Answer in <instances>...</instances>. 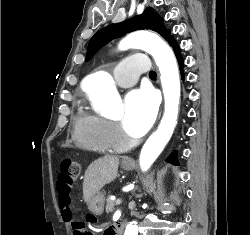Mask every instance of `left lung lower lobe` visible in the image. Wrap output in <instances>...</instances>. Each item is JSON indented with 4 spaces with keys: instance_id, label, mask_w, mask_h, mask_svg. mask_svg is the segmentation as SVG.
I'll return each mask as SVG.
<instances>
[{
    "instance_id": "obj_1",
    "label": "left lung lower lobe",
    "mask_w": 250,
    "mask_h": 235,
    "mask_svg": "<svg viewBox=\"0 0 250 235\" xmlns=\"http://www.w3.org/2000/svg\"><path fill=\"white\" fill-rule=\"evenodd\" d=\"M170 46L173 48L175 55L177 57V60L179 62L180 65V70H181V74H182V79H184V74H183V60L180 54V48L178 46V44L172 39L171 41H169ZM167 162H171L175 165L178 164L177 162V158H176V152L172 153L166 160Z\"/></svg>"
}]
</instances>
